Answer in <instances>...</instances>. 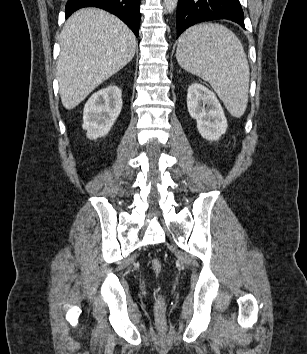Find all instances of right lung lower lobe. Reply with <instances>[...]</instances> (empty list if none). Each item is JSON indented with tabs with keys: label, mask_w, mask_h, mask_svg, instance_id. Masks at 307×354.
Masks as SVG:
<instances>
[{
	"label": "right lung lower lobe",
	"mask_w": 307,
	"mask_h": 354,
	"mask_svg": "<svg viewBox=\"0 0 307 354\" xmlns=\"http://www.w3.org/2000/svg\"><path fill=\"white\" fill-rule=\"evenodd\" d=\"M83 7H97L113 13L138 36L140 0H68L65 7L66 17Z\"/></svg>",
	"instance_id": "1"
}]
</instances>
